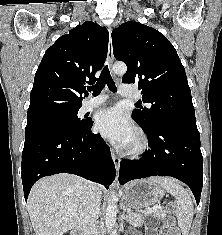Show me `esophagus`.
<instances>
[{
	"label": "esophagus",
	"instance_id": "esophagus-1",
	"mask_svg": "<svg viewBox=\"0 0 222 235\" xmlns=\"http://www.w3.org/2000/svg\"><path fill=\"white\" fill-rule=\"evenodd\" d=\"M109 31V45H108V64L109 67L111 69L112 75L113 77H115V74L112 71V65H113V61H114V54H113V45H112V38H111V32L112 29L109 27L108 28ZM112 154V160L114 162L115 168L118 171L119 170V166H120V159L119 157L114 153V151H111Z\"/></svg>",
	"mask_w": 222,
	"mask_h": 235
}]
</instances>
